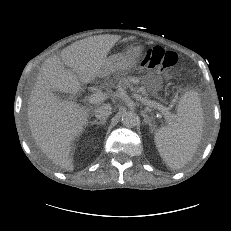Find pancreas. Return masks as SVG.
Here are the masks:
<instances>
[{
    "label": "pancreas",
    "instance_id": "1",
    "mask_svg": "<svg viewBox=\"0 0 231 231\" xmlns=\"http://www.w3.org/2000/svg\"><path fill=\"white\" fill-rule=\"evenodd\" d=\"M118 83H117V87H130L132 88V90H135V88L132 87V79L133 77L131 76H127L125 77L124 75L118 76ZM143 95H146V91L144 89L141 90ZM144 99H146L148 101V98L145 97ZM154 104L155 107H163L161 104L155 102V101H150Z\"/></svg>",
    "mask_w": 231,
    "mask_h": 231
}]
</instances>
